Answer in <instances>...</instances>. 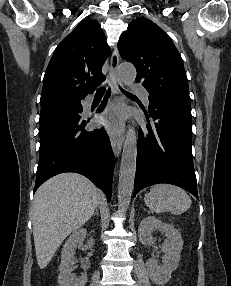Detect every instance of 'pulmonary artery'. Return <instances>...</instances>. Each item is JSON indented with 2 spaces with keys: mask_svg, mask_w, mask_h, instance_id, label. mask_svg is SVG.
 <instances>
[{
  "mask_svg": "<svg viewBox=\"0 0 231 286\" xmlns=\"http://www.w3.org/2000/svg\"><path fill=\"white\" fill-rule=\"evenodd\" d=\"M132 89L135 93L141 95V97H142V99L146 105H149V93L142 85L134 83L132 85Z\"/></svg>",
  "mask_w": 231,
  "mask_h": 286,
  "instance_id": "e3ab8cb5",
  "label": "pulmonary artery"
}]
</instances>
